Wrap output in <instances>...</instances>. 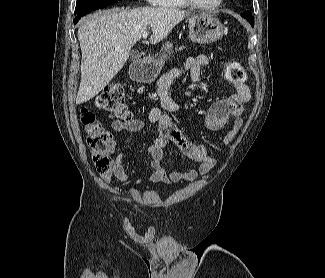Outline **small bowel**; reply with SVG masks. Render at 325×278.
I'll return each instance as SVG.
<instances>
[{
	"instance_id": "c3829d8e",
	"label": "small bowel",
	"mask_w": 325,
	"mask_h": 278,
	"mask_svg": "<svg viewBox=\"0 0 325 278\" xmlns=\"http://www.w3.org/2000/svg\"><path fill=\"white\" fill-rule=\"evenodd\" d=\"M209 65L206 55L188 57L183 66L174 69L164 75L158 83V96L161 108H153L148 114V121L157 130V136L152 146L148 148L151 157L152 172L148 175V180L153 183H178L189 182L197 178L199 174L205 175L214 166L215 159L202 144L190 140L177 126L173 118L165 113H174L182 110L183 103L173 100L169 95V87L172 81L184 72H189L191 79L199 92L204 89V84L200 77L202 67ZM234 92L225 99L212 103L205 115V123L209 130L222 132L224 134L221 145L227 147L236 136L242 126V116L244 105L250 100V89L246 84L236 85L229 83ZM233 121L231 126L228 123ZM114 132H141L145 129V124L139 119L129 121L114 120L111 124ZM172 142L188 158L199 164L198 168H191L185 172H178L165 168L162 164L165 157L167 144ZM124 153L120 152L111 163L110 168L101 174L104 182H110L116 178L122 183L128 180V175L123 167ZM141 183V181H138ZM130 227V226H128Z\"/></svg>"
}]
</instances>
